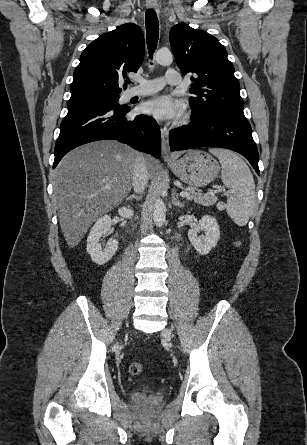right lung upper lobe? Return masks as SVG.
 Here are the masks:
<instances>
[{"instance_id": "obj_1", "label": "right lung upper lobe", "mask_w": 307, "mask_h": 445, "mask_svg": "<svg viewBox=\"0 0 307 445\" xmlns=\"http://www.w3.org/2000/svg\"><path fill=\"white\" fill-rule=\"evenodd\" d=\"M143 58L144 36L139 26L127 23L101 35L80 56L70 100L119 95L118 82L128 72H137Z\"/></svg>"}]
</instances>
